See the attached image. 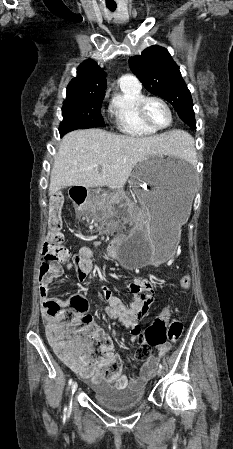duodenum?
I'll return each instance as SVG.
<instances>
[{"label": "duodenum", "mask_w": 233, "mask_h": 449, "mask_svg": "<svg viewBox=\"0 0 233 449\" xmlns=\"http://www.w3.org/2000/svg\"><path fill=\"white\" fill-rule=\"evenodd\" d=\"M88 194V186H72L70 192L72 206H85Z\"/></svg>", "instance_id": "410a0bca"}]
</instances>
